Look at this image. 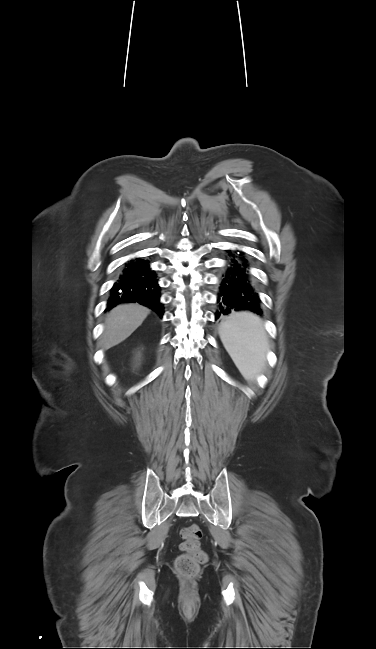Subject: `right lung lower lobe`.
<instances>
[{
	"label": "right lung lower lobe",
	"instance_id": "1",
	"mask_svg": "<svg viewBox=\"0 0 376 649\" xmlns=\"http://www.w3.org/2000/svg\"><path fill=\"white\" fill-rule=\"evenodd\" d=\"M155 271L148 261L134 259L125 264L108 299V310L121 303H139L154 310L161 317L163 304L159 302L160 287Z\"/></svg>",
	"mask_w": 376,
	"mask_h": 649
}]
</instances>
